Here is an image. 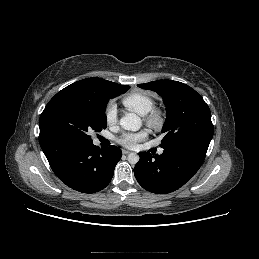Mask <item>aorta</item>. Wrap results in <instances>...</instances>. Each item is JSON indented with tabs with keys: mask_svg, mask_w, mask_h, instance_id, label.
Returning <instances> with one entry per match:
<instances>
[{
	"mask_svg": "<svg viewBox=\"0 0 259 259\" xmlns=\"http://www.w3.org/2000/svg\"><path fill=\"white\" fill-rule=\"evenodd\" d=\"M120 125L125 130L138 131L142 125V121L138 115L127 113L120 119ZM128 162L130 164H137L139 162V155L130 153L128 155Z\"/></svg>",
	"mask_w": 259,
	"mask_h": 259,
	"instance_id": "762f6f07",
	"label": "aorta"
}]
</instances>
